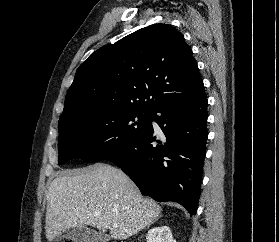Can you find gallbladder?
Wrapping results in <instances>:
<instances>
[{
    "label": "gallbladder",
    "instance_id": "1",
    "mask_svg": "<svg viewBox=\"0 0 279 242\" xmlns=\"http://www.w3.org/2000/svg\"><path fill=\"white\" fill-rule=\"evenodd\" d=\"M61 239H67L72 242H106L109 236L86 227H74L62 232L55 238V241L59 242Z\"/></svg>",
    "mask_w": 279,
    "mask_h": 242
}]
</instances>
